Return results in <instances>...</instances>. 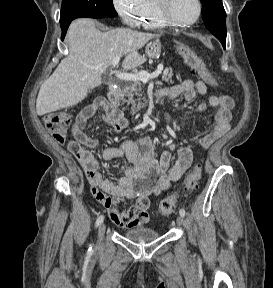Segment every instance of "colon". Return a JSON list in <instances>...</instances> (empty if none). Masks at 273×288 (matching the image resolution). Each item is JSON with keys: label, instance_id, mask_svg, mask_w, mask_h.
Returning a JSON list of instances; mask_svg holds the SVG:
<instances>
[{"label": "colon", "instance_id": "1", "mask_svg": "<svg viewBox=\"0 0 273 288\" xmlns=\"http://www.w3.org/2000/svg\"><path fill=\"white\" fill-rule=\"evenodd\" d=\"M178 50L186 63L190 65L208 84L217 86L216 79L206 69L204 63L196 55V53L187 45L180 43ZM44 124L47 130L52 135L53 139L59 143L64 144L67 138L68 129L71 124V116L64 111H56L47 114L44 118ZM202 176V165L197 164L186 175L180 190L166 198H164L159 205V213L162 216H169L176 208L179 198L183 195L192 193L199 184Z\"/></svg>", "mask_w": 273, "mask_h": 288}]
</instances>
